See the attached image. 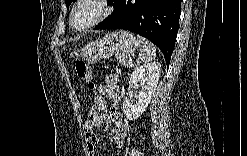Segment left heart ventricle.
<instances>
[{"label":"left heart ventricle","mask_w":247,"mask_h":156,"mask_svg":"<svg viewBox=\"0 0 247 156\" xmlns=\"http://www.w3.org/2000/svg\"><path fill=\"white\" fill-rule=\"evenodd\" d=\"M101 8L94 3H84L80 5L74 15V23L77 26H82L88 22L94 20L99 13Z\"/></svg>","instance_id":"left-heart-ventricle-1"}]
</instances>
